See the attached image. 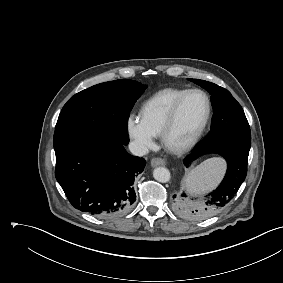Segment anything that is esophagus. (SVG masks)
<instances>
[{
  "mask_svg": "<svg viewBox=\"0 0 283 283\" xmlns=\"http://www.w3.org/2000/svg\"><path fill=\"white\" fill-rule=\"evenodd\" d=\"M151 165L153 167L164 166V165H166V161L162 158H154V159L151 160Z\"/></svg>",
  "mask_w": 283,
  "mask_h": 283,
  "instance_id": "34e87169",
  "label": "esophagus"
}]
</instances>
